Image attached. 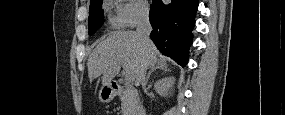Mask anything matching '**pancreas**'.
<instances>
[{
	"mask_svg": "<svg viewBox=\"0 0 285 115\" xmlns=\"http://www.w3.org/2000/svg\"><path fill=\"white\" fill-rule=\"evenodd\" d=\"M121 100L123 115H130L138 103V93L135 89L126 84L125 89L118 93Z\"/></svg>",
	"mask_w": 285,
	"mask_h": 115,
	"instance_id": "pancreas-1",
	"label": "pancreas"
}]
</instances>
